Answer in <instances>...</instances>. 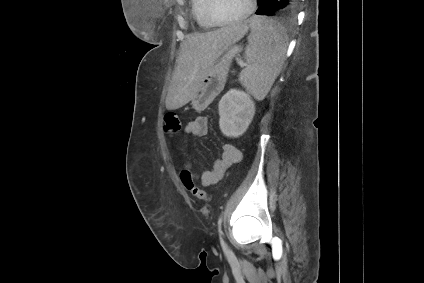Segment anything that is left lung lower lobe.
<instances>
[{"label":"left lung lower lobe","mask_w":424,"mask_h":283,"mask_svg":"<svg viewBox=\"0 0 424 283\" xmlns=\"http://www.w3.org/2000/svg\"><path fill=\"white\" fill-rule=\"evenodd\" d=\"M299 0H257V15L272 16L279 10H294Z\"/></svg>","instance_id":"1"}]
</instances>
